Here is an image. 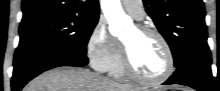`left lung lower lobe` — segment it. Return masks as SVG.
<instances>
[{"mask_svg":"<svg viewBox=\"0 0 220 91\" xmlns=\"http://www.w3.org/2000/svg\"><path fill=\"white\" fill-rule=\"evenodd\" d=\"M211 56L203 57L176 69L174 74L163 84H181L198 91H214L215 81L211 72Z\"/></svg>","mask_w":220,"mask_h":91,"instance_id":"obj_1","label":"left lung lower lobe"}]
</instances>
